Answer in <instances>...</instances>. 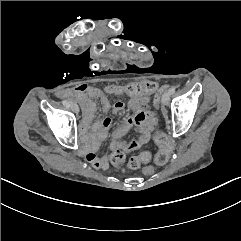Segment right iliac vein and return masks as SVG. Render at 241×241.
<instances>
[{
    "instance_id": "right-iliac-vein-1",
    "label": "right iliac vein",
    "mask_w": 241,
    "mask_h": 241,
    "mask_svg": "<svg viewBox=\"0 0 241 241\" xmlns=\"http://www.w3.org/2000/svg\"><path fill=\"white\" fill-rule=\"evenodd\" d=\"M70 108L75 112L78 113L79 112V107L76 103H71L70 104Z\"/></svg>"
}]
</instances>
